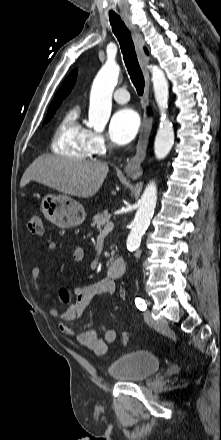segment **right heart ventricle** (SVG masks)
I'll return each mask as SVG.
<instances>
[{"label": "right heart ventricle", "mask_w": 221, "mask_h": 440, "mask_svg": "<svg viewBox=\"0 0 221 440\" xmlns=\"http://www.w3.org/2000/svg\"><path fill=\"white\" fill-rule=\"evenodd\" d=\"M78 105L69 107L59 119L52 141L54 153L76 160H86L91 157L89 143L90 130L80 120Z\"/></svg>", "instance_id": "1"}]
</instances>
